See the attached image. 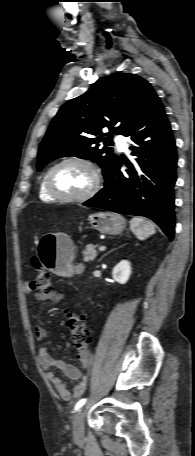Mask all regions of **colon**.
<instances>
[{"label": "colon", "instance_id": "colon-1", "mask_svg": "<svg viewBox=\"0 0 195 456\" xmlns=\"http://www.w3.org/2000/svg\"><path fill=\"white\" fill-rule=\"evenodd\" d=\"M32 265L37 271L35 279L31 282V288L42 293H50L53 290L50 274L42 267L36 259ZM67 324L71 333V341L80 360L87 358L88 348L91 343L90 331L82 314L67 310Z\"/></svg>", "mask_w": 195, "mask_h": 456}]
</instances>
